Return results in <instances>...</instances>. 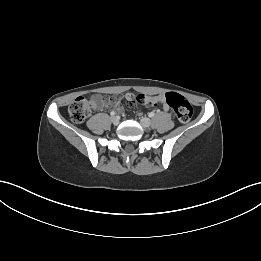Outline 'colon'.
<instances>
[{"instance_id":"colon-1","label":"colon","mask_w":261,"mask_h":261,"mask_svg":"<svg viewBox=\"0 0 261 261\" xmlns=\"http://www.w3.org/2000/svg\"><path fill=\"white\" fill-rule=\"evenodd\" d=\"M164 97L166 103L180 122L186 123L191 119L193 115L192 105L182 95L169 92ZM92 108L93 102L91 100L78 97L70 104L68 111L72 121L82 123L89 117Z\"/></svg>"}]
</instances>
